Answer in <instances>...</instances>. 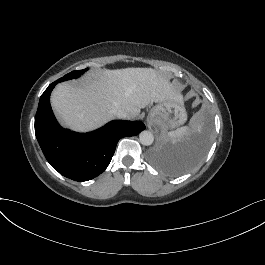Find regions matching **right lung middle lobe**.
I'll return each instance as SVG.
<instances>
[{"label":"right lung middle lobe","instance_id":"right-lung-middle-lobe-1","mask_svg":"<svg viewBox=\"0 0 265 265\" xmlns=\"http://www.w3.org/2000/svg\"><path fill=\"white\" fill-rule=\"evenodd\" d=\"M87 69L80 70V71H73L69 74H66L64 77L60 78V81L69 80L72 78H78L82 73H84Z\"/></svg>","mask_w":265,"mask_h":265}]
</instances>
